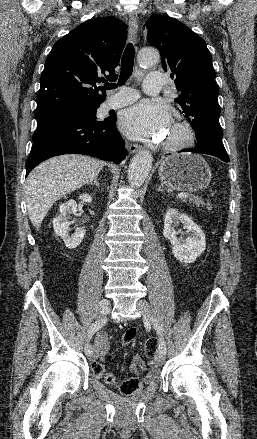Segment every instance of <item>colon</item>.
Wrapping results in <instances>:
<instances>
[{
  "label": "colon",
  "instance_id": "obj_1",
  "mask_svg": "<svg viewBox=\"0 0 257 439\" xmlns=\"http://www.w3.org/2000/svg\"><path fill=\"white\" fill-rule=\"evenodd\" d=\"M136 336V330L133 328L128 329L122 339L124 345H129ZM157 349V342L155 339H149L144 346V352L147 357H154ZM92 371L94 375L108 384H118L120 391L123 394H132L138 391L141 387V383L136 378H129L120 383L117 382L114 375L108 373L100 363L92 364Z\"/></svg>",
  "mask_w": 257,
  "mask_h": 439
}]
</instances>
